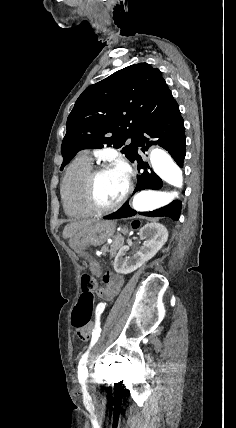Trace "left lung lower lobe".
Instances as JSON below:
<instances>
[{
  "label": "left lung lower lobe",
  "mask_w": 236,
  "mask_h": 428,
  "mask_svg": "<svg viewBox=\"0 0 236 428\" xmlns=\"http://www.w3.org/2000/svg\"><path fill=\"white\" fill-rule=\"evenodd\" d=\"M151 138L156 139V141H149ZM185 141L184 120L179 111L178 104L173 100L159 116L152 119L143 127L138 136L137 146L142 147L141 150L145 151L150 145L158 144L167 150L176 163L182 167L185 157ZM136 160L140 175L137 176L138 181L134 193L146 189L158 190L162 188V180L152 169H149L148 164L142 161L140 155ZM180 211L181 202L177 200L160 209L150 212H140L139 214L149 217L168 216L173 220H178ZM136 213L128 203H125L118 211L105 216L104 219L126 218L134 216Z\"/></svg>",
  "instance_id": "1"
}]
</instances>
